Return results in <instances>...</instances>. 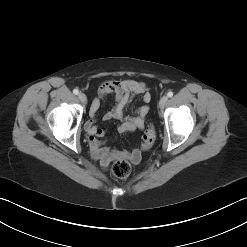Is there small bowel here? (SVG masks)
Segmentation results:
<instances>
[{
	"label": "small bowel",
	"instance_id": "obj_1",
	"mask_svg": "<svg viewBox=\"0 0 247 247\" xmlns=\"http://www.w3.org/2000/svg\"><path fill=\"white\" fill-rule=\"evenodd\" d=\"M113 95L115 97V106L104 115L105 121H119L117 130L119 133L134 132L144 127L145 119L149 112V107L143 105L136 109L129 117H125V110L135 96L148 103L151 95L148 87L136 80H109L104 82L98 89V96L93 100L89 115L90 119L85 123V131L89 136V142L93 156L100 161L103 168L108 167L110 162L117 159L129 160L136 164L141 159L138 149L119 150L107 147L104 144L105 130L95 123V117L100 107L101 100Z\"/></svg>",
	"mask_w": 247,
	"mask_h": 247
}]
</instances>
